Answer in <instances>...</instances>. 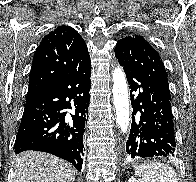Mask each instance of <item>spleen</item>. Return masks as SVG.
<instances>
[{
    "label": "spleen",
    "mask_w": 196,
    "mask_h": 182,
    "mask_svg": "<svg viewBox=\"0 0 196 182\" xmlns=\"http://www.w3.org/2000/svg\"><path fill=\"white\" fill-rule=\"evenodd\" d=\"M140 182H179L173 169L161 163H147L135 169Z\"/></svg>",
    "instance_id": "1"
}]
</instances>
